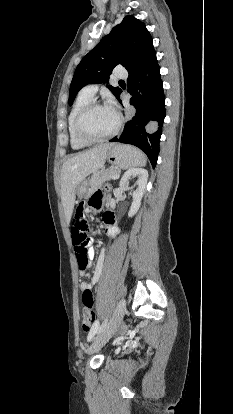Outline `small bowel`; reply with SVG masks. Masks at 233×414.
Here are the masks:
<instances>
[{"label":"small bowel","mask_w":233,"mask_h":414,"mask_svg":"<svg viewBox=\"0 0 233 414\" xmlns=\"http://www.w3.org/2000/svg\"><path fill=\"white\" fill-rule=\"evenodd\" d=\"M89 205L93 209H99L101 207V195L99 193H95L90 198ZM104 221H105V225H106L105 226L106 233L112 238L116 237V235L119 233V228L116 225V222H115L114 215H113L112 211H108V212L105 213ZM88 255H89V258L91 260L94 256V250H93L92 247H90L88 249ZM104 260H105L104 255H101L99 257L98 261H97L96 268H95V271L93 273L92 280L90 282L84 281V282L81 283L80 288H81L82 291H84L86 289L91 290L96 285V283L99 279V276L101 274V271L103 269V266H104ZM89 267H90V264H89ZM88 268L85 269V270L79 269L80 275L81 276H87L88 275V273H87ZM95 323L96 322H94V324L92 325V327L90 329V336L93 333H95V331H96Z\"/></svg>","instance_id":"obj_1"}]
</instances>
